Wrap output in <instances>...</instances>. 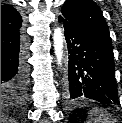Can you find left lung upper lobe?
Listing matches in <instances>:
<instances>
[{"label": "left lung upper lobe", "mask_w": 122, "mask_h": 123, "mask_svg": "<svg viewBox=\"0 0 122 123\" xmlns=\"http://www.w3.org/2000/svg\"><path fill=\"white\" fill-rule=\"evenodd\" d=\"M62 16L112 45L107 23L94 1L66 0L62 7Z\"/></svg>", "instance_id": "left-lung-upper-lobe-1"}]
</instances>
